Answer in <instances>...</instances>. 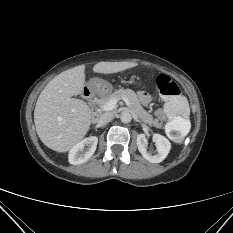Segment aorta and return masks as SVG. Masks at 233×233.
<instances>
[{
	"instance_id": "1",
	"label": "aorta",
	"mask_w": 233,
	"mask_h": 233,
	"mask_svg": "<svg viewBox=\"0 0 233 233\" xmlns=\"http://www.w3.org/2000/svg\"><path fill=\"white\" fill-rule=\"evenodd\" d=\"M132 119L131 114L128 111H122L120 114V120L123 123H129Z\"/></svg>"
}]
</instances>
